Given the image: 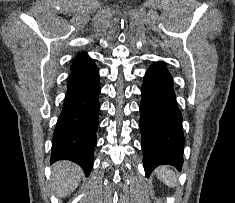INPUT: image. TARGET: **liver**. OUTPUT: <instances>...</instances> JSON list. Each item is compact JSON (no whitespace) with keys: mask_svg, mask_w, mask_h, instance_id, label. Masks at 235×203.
Segmentation results:
<instances>
[{"mask_svg":"<svg viewBox=\"0 0 235 203\" xmlns=\"http://www.w3.org/2000/svg\"><path fill=\"white\" fill-rule=\"evenodd\" d=\"M82 169L70 161H59L52 166L53 188L61 198L70 195L79 185Z\"/></svg>","mask_w":235,"mask_h":203,"instance_id":"1","label":"liver"}]
</instances>
